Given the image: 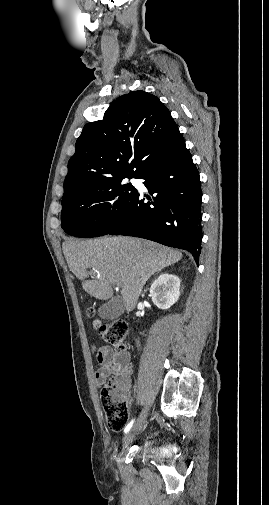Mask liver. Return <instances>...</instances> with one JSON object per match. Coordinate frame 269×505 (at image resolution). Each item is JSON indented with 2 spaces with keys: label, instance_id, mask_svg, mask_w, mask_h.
<instances>
[{
  "label": "liver",
  "instance_id": "liver-1",
  "mask_svg": "<svg viewBox=\"0 0 269 505\" xmlns=\"http://www.w3.org/2000/svg\"><path fill=\"white\" fill-rule=\"evenodd\" d=\"M62 247L70 270L82 280V287L90 296L108 300L117 285L128 312L135 308L146 281L182 258L177 250L124 236L67 240ZM89 275L92 279L85 280Z\"/></svg>",
  "mask_w": 269,
  "mask_h": 505
}]
</instances>
